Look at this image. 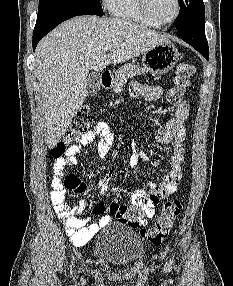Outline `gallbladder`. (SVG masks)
Here are the masks:
<instances>
[{"instance_id":"bac80fb5","label":"gallbladder","mask_w":233,"mask_h":286,"mask_svg":"<svg viewBox=\"0 0 233 286\" xmlns=\"http://www.w3.org/2000/svg\"><path fill=\"white\" fill-rule=\"evenodd\" d=\"M100 74L96 72H91L88 75L87 82H86V89H87V94L89 96H93L94 94L97 93V91L100 88Z\"/></svg>"}]
</instances>
